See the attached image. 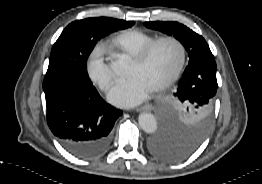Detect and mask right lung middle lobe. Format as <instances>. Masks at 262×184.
Wrapping results in <instances>:
<instances>
[{
	"mask_svg": "<svg viewBox=\"0 0 262 184\" xmlns=\"http://www.w3.org/2000/svg\"><path fill=\"white\" fill-rule=\"evenodd\" d=\"M134 23L108 17L70 23L53 45L44 81L76 76L91 82L86 72V62L97 41L112 32L131 27Z\"/></svg>",
	"mask_w": 262,
	"mask_h": 184,
	"instance_id": "right-lung-middle-lobe-1",
	"label": "right lung middle lobe"
}]
</instances>
